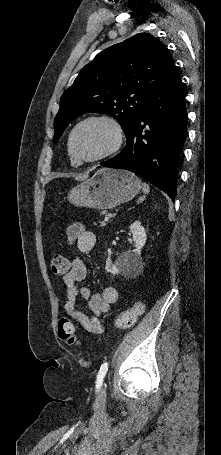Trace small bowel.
Returning a JSON list of instances; mask_svg holds the SVG:
<instances>
[{
  "label": "small bowel",
  "mask_w": 221,
  "mask_h": 455,
  "mask_svg": "<svg viewBox=\"0 0 221 455\" xmlns=\"http://www.w3.org/2000/svg\"><path fill=\"white\" fill-rule=\"evenodd\" d=\"M67 238L69 244L76 245L78 250L83 253L92 250L96 244L95 234L86 230L80 224H74L69 227ZM86 276V264L80 258H73L70 262L69 272L63 277L65 285L63 314L91 334L101 335L104 327L100 317L108 313L111 305L117 301L118 292L115 287L107 286L101 293L92 294L88 287L79 285ZM78 298L87 301L90 310L89 314L77 310Z\"/></svg>",
  "instance_id": "small-bowel-1"
}]
</instances>
